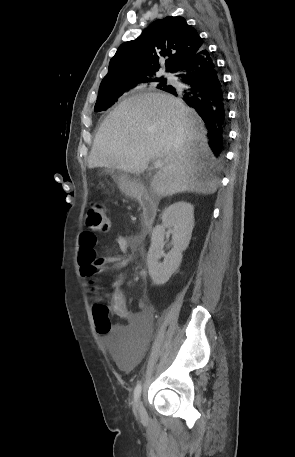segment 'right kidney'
<instances>
[{
    "label": "right kidney",
    "mask_w": 295,
    "mask_h": 457,
    "mask_svg": "<svg viewBox=\"0 0 295 457\" xmlns=\"http://www.w3.org/2000/svg\"><path fill=\"white\" fill-rule=\"evenodd\" d=\"M172 233L173 248L168 254L163 251L165 229ZM194 228V207L180 201L170 205L162 214V224L152 231L151 246L147 256L149 275L155 285L165 284L182 261V253L189 245ZM164 257L162 263L159 259Z\"/></svg>",
    "instance_id": "obj_1"
}]
</instances>
